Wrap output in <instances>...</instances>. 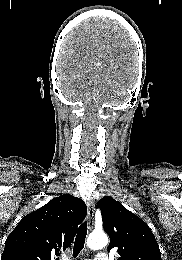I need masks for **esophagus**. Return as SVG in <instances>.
<instances>
[{
  "label": "esophagus",
  "mask_w": 182,
  "mask_h": 260,
  "mask_svg": "<svg viewBox=\"0 0 182 260\" xmlns=\"http://www.w3.org/2000/svg\"><path fill=\"white\" fill-rule=\"evenodd\" d=\"M94 202L90 200L87 204V217H88V227L91 230L94 226Z\"/></svg>",
  "instance_id": "34e87169"
}]
</instances>
